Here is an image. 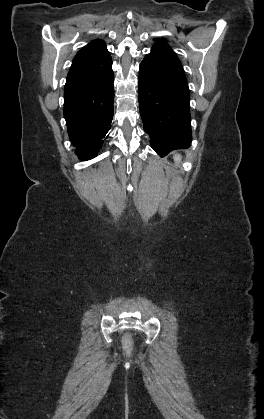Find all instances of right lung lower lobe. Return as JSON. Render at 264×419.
<instances>
[{
    "label": "right lung lower lobe",
    "instance_id": "98d812e1",
    "mask_svg": "<svg viewBox=\"0 0 264 419\" xmlns=\"http://www.w3.org/2000/svg\"><path fill=\"white\" fill-rule=\"evenodd\" d=\"M114 76L85 86L65 88L64 116L75 153L82 160L94 158L111 128Z\"/></svg>",
    "mask_w": 264,
    "mask_h": 419
}]
</instances>
